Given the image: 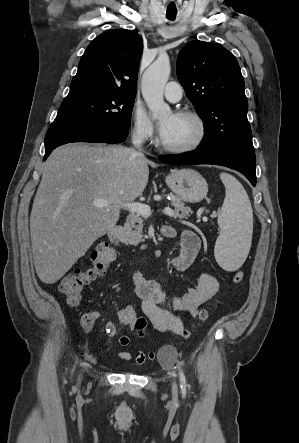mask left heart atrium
Segmentation results:
<instances>
[{
    "label": "left heart atrium",
    "mask_w": 299,
    "mask_h": 443,
    "mask_svg": "<svg viewBox=\"0 0 299 443\" xmlns=\"http://www.w3.org/2000/svg\"><path fill=\"white\" fill-rule=\"evenodd\" d=\"M174 118H175V116L172 115L168 119L160 122L159 133H160L161 137H163L164 135H166L168 133V131L170 130V128L172 127V125L174 123Z\"/></svg>",
    "instance_id": "left-heart-atrium-1"
}]
</instances>
